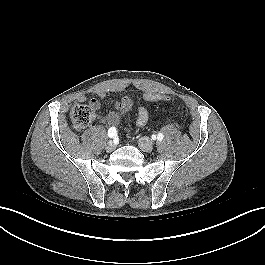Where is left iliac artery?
Instances as JSON below:
<instances>
[{
  "label": "left iliac artery",
  "instance_id": "1",
  "mask_svg": "<svg viewBox=\"0 0 265 265\" xmlns=\"http://www.w3.org/2000/svg\"><path fill=\"white\" fill-rule=\"evenodd\" d=\"M163 138H164V135H163L162 133H159V134L157 135V139H158L159 141H162Z\"/></svg>",
  "mask_w": 265,
  "mask_h": 265
}]
</instances>
